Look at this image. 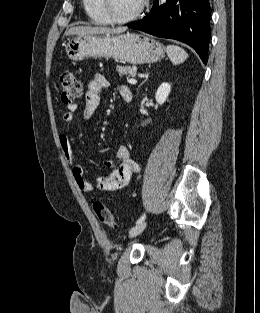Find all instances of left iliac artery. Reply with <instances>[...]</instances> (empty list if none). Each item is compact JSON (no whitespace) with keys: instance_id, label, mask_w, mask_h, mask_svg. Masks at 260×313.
I'll use <instances>...</instances> for the list:
<instances>
[{"instance_id":"left-iliac-artery-1","label":"left iliac artery","mask_w":260,"mask_h":313,"mask_svg":"<svg viewBox=\"0 0 260 313\" xmlns=\"http://www.w3.org/2000/svg\"><path fill=\"white\" fill-rule=\"evenodd\" d=\"M146 214L144 213L136 222V224H139L145 220Z\"/></svg>"}]
</instances>
